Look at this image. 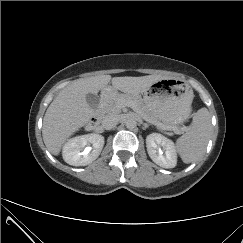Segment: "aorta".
I'll return each mask as SVG.
<instances>
[{"label": "aorta", "instance_id": "obj_1", "mask_svg": "<svg viewBox=\"0 0 243 243\" xmlns=\"http://www.w3.org/2000/svg\"><path fill=\"white\" fill-rule=\"evenodd\" d=\"M125 126L128 129L132 130V129L136 128L137 121L134 118H127L126 121H125Z\"/></svg>", "mask_w": 243, "mask_h": 243}]
</instances>
